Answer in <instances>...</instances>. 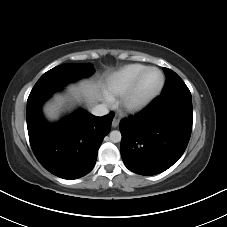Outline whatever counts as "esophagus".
<instances>
[{"mask_svg":"<svg viewBox=\"0 0 227 227\" xmlns=\"http://www.w3.org/2000/svg\"><path fill=\"white\" fill-rule=\"evenodd\" d=\"M119 123H120V118L118 116H115L113 121H112V127L113 128L118 127Z\"/></svg>","mask_w":227,"mask_h":227,"instance_id":"esophagus-1","label":"esophagus"}]
</instances>
